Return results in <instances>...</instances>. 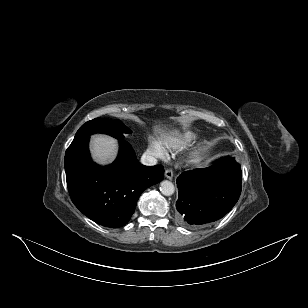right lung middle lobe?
<instances>
[{
	"instance_id": "right-lung-middle-lobe-1",
	"label": "right lung middle lobe",
	"mask_w": 308,
	"mask_h": 308,
	"mask_svg": "<svg viewBox=\"0 0 308 308\" xmlns=\"http://www.w3.org/2000/svg\"><path fill=\"white\" fill-rule=\"evenodd\" d=\"M94 133H105L117 139H123L124 134H130L131 130L120 120L113 121L109 119L95 118L83 124L77 131L74 139L82 136H90Z\"/></svg>"
}]
</instances>
